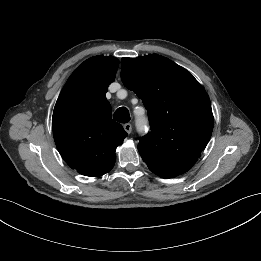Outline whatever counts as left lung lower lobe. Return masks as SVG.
Masks as SVG:
<instances>
[{
	"label": "left lung lower lobe",
	"mask_w": 261,
	"mask_h": 261,
	"mask_svg": "<svg viewBox=\"0 0 261 261\" xmlns=\"http://www.w3.org/2000/svg\"><path fill=\"white\" fill-rule=\"evenodd\" d=\"M158 176L162 177V178H172L175 176H169V175H163V174H157Z\"/></svg>",
	"instance_id": "0a47b994"
}]
</instances>
